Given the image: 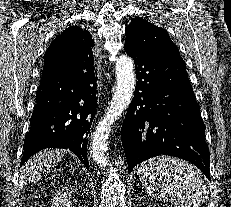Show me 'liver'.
Masks as SVG:
<instances>
[{
	"label": "liver",
	"instance_id": "obj_1",
	"mask_svg": "<svg viewBox=\"0 0 231 207\" xmlns=\"http://www.w3.org/2000/svg\"><path fill=\"white\" fill-rule=\"evenodd\" d=\"M66 152V150L55 149L37 153L25 163L20 176L21 180L25 182L40 179L62 160Z\"/></svg>",
	"mask_w": 231,
	"mask_h": 207
}]
</instances>
